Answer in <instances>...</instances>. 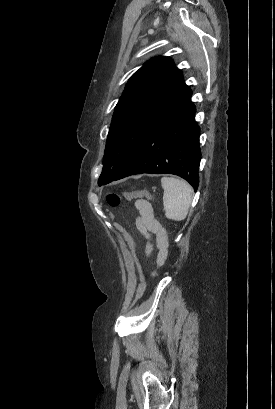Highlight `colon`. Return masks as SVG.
Returning <instances> with one entry per match:
<instances>
[{"mask_svg": "<svg viewBox=\"0 0 275 409\" xmlns=\"http://www.w3.org/2000/svg\"><path fill=\"white\" fill-rule=\"evenodd\" d=\"M123 196L127 200H132L138 197L152 198V194L148 190L126 192ZM120 200V196L116 193H110L107 196V202L110 207H118V205L120 204Z\"/></svg>", "mask_w": 275, "mask_h": 409, "instance_id": "1", "label": "colon"}]
</instances>
